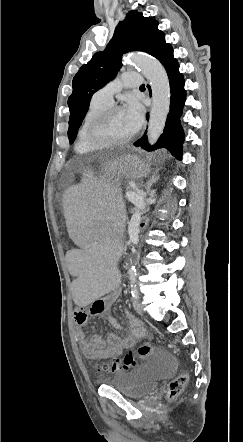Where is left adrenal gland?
<instances>
[{
	"label": "left adrenal gland",
	"mask_w": 243,
	"mask_h": 442,
	"mask_svg": "<svg viewBox=\"0 0 243 442\" xmlns=\"http://www.w3.org/2000/svg\"><path fill=\"white\" fill-rule=\"evenodd\" d=\"M158 176L156 173L152 174V176L150 177V179L147 182V188L148 190L152 187V185L157 181Z\"/></svg>",
	"instance_id": "obj_1"
}]
</instances>
